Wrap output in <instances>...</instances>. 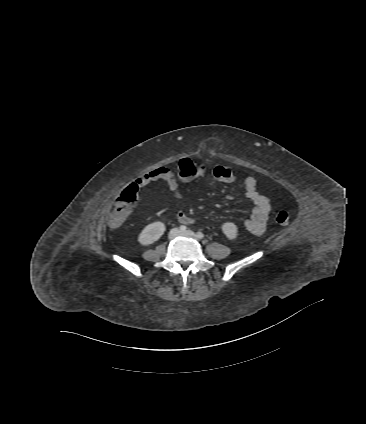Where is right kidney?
Instances as JSON below:
<instances>
[{
  "instance_id": "ca27d5eb",
  "label": "right kidney",
  "mask_w": 366,
  "mask_h": 424,
  "mask_svg": "<svg viewBox=\"0 0 366 424\" xmlns=\"http://www.w3.org/2000/svg\"><path fill=\"white\" fill-rule=\"evenodd\" d=\"M165 232V225L162 222H153L149 225H147L142 232L138 236V242L141 245L147 246L150 245L157 240L160 239V237Z\"/></svg>"
}]
</instances>
